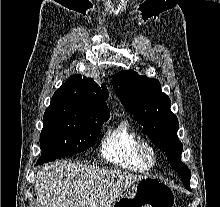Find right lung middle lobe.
I'll return each instance as SVG.
<instances>
[{
	"label": "right lung middle lobe",
	"instance_id": "obj_1",
	"mask_svg": "<svg viewBox=\"0 0 220 207\" xmlns=\"http://www.w3.org/2000/svg\"><path fill=\"white\" fill-rule=\"evenodd\" d=\"M105 121L76 101L53 97L43 117L42 152L37 164L87 150L95 143Z\"/></svg>",
	"mask_w": 220,
	"mask_h": 207
}]
</instances>
